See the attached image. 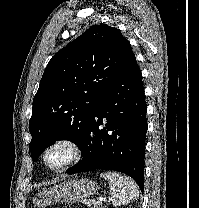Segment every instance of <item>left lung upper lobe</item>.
<instances>
[{
  "mask_svg": "<svg viewBox=\"0 0 199 208\" xmlns=\"http://www.w3.org/2000/svg\"><path fill=\"white\" fill-rule=\"evenodd\" d=\"M134 58L129 41L105 24L90 27L57 52L33 99L32 158L58 140L68 139L80 147L100 97Z\"/></svg>",
  "mask_w": 199,
  "mask_h": 208,
  "instance_id": "1",
  "label": "left lung upper lobe"
}]
</instances>
